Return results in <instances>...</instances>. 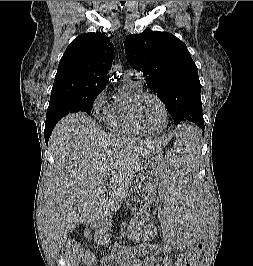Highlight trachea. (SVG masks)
Masks as SVG:
<instances>
[{
  "instance_id": "obj_1",
  "label": "trachea",
  "mask_w": 253,
  "mask_h": 266,
  "mask_svg": "<svg viewBox=\"0 0 253 266\" xmlns=\"http://www.w3.org/2000/svg\"><path fill=\"white\" fill-rule=\"evenodd\" d=\"M125 2H126V1H120V3H121L122 5L125 4Z\"/></svg>"
}]
</instances>
